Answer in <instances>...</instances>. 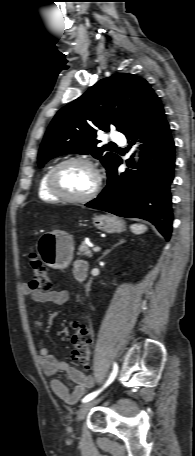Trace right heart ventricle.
<instances>
[{"mask_svg": "<svg viewBox=\"0 0 195 456\" xmlns=\"http://www.w3.org/2000/svg\"><path fill=\"white\" fill-rule=\"evenodd\" d=\"M51 170V167L49 169H47L43 175L41 176L40 180H39V183H38V195L39 197L44 200V201H50V202H54V201H57L58 198L55 197L48 189L47 187V177H48V174Z\"/></svg>", "mask_w": 195, "mask_h": 456, "instance_id": "obj_1", "label": "right heart ventricle"}]
</instances>
